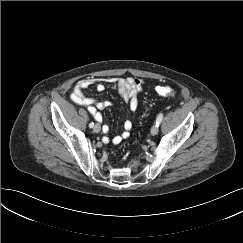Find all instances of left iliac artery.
Masks as SVG:
<instances>
[{"label": "left iliac artery", "instance_id": "1", "mask_svg": "<svg viewBox=\"0 0 243 243\" xmlns=\"http://www.w3.org/2000/svg\"><path fill=\"white\" fill-rule=\"evenodd\" d=\"M162 120H163V114L160 113L156 118V125L159 126Z\"/></svg>", "mask_w": 243, "mask_h": 243}]
</instances>
